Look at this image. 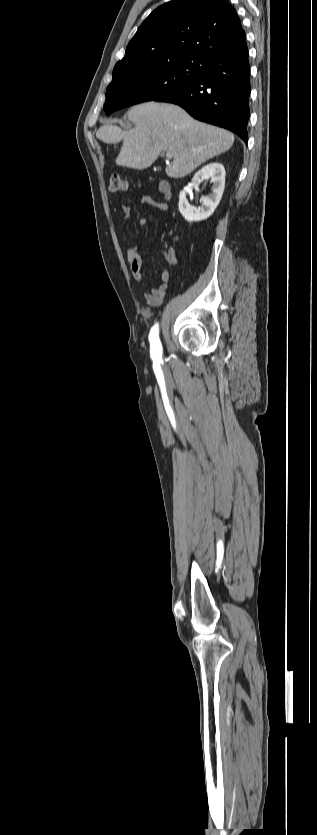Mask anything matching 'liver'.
<instances>
[{
    "label": "liver",
    "instance_id": "obj_1",
    "mask_svg": "<svg viewBox=\"0 0 317 835\" xmlns=\"http://www.w3.org/2000/svg\"><path fill=\"white\" fill-rule=\"evenodd\" d=\"M128 119L134 128L123 131L113 124L101 126L96 137L106 144L123 145L115 160L118 166L145 169L161 152L173 157L165 169L171 178L190 174L206 160L230 149L231 132L193 119L182 108L157 102L132 107Z\"/></svg>",
    "mask_w": 317,
    "mask_h": 835
}]
</instances>
